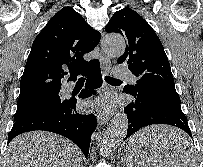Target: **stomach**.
<instances>
[{
  "instance_id": "1",
  "label": "stomach",
  "mask_w": 203,
  "mask_h": 167,
  "mask_svg": "<svg viewBox=\"0 0 203 167\" xmlns=\"http://www.w3.org/2000/svg\"><path fill=\"white\" fill-rule=\"evenodd\" d=\"M126 154H125V156H124V162H125V164H126V166L128 167V164L126 163V160H129V158H130V156H131V152L129 151V149H128V147L126 148ZM151 153L153 154V155H157L158 154V151H157V149H151Z\"/></svg>"
}]
</instances>
